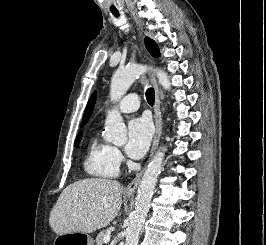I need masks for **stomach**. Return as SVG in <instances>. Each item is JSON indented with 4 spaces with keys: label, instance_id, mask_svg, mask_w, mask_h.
Returning <instances> with one entry per match:
<instances>
[{
    "label": "stomach",
    "instance_id": "1",
    "mask_svg": "<svg viewBox=\"0 0 266 245\" xmlns=\"http://www.w3.org/2000/svg\"><path fill=\"white\" fill-rule=\"evenodd\" d=\"M127 199H131L126 195ZM58 242H71V245H94V241L88 233H56Z\"/></svg>",
    "mask_w": 266,
    "mask_h": 245
}]
</instances>
